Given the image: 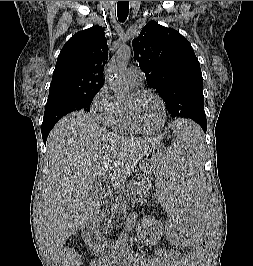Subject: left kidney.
I'll return each mask as SVG.
<instances>
[{"mask_svg":"<svg viewBox=\"0 0 253 266\" xmlns=\"http://www.w3.org/2000/svg\"><path fill=\"white\" fill-rule=\"evenodd\" d=\"M137 234L146 245H156L164 234V226L161 221L152 216L144 217L138 224Z\"/></svg>","mask_w":253,"mask_h":266,"instance_id":"left-kidney-1","label":"left kidney"}]
</instances>
